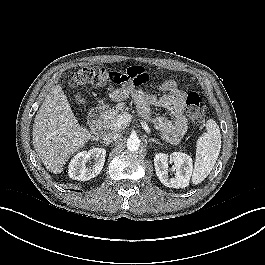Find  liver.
Wrapping results in <instances>:
<instances>
[{"mask_svg":"<svg viewBox=\"0 0 265 265\" xmlns=\"http://www.w3.org/2000/svg\"><path fill=\"white\" fill-rule=\"evenodd\" d=\"M33 145L42 163L54 174L90 139V131L75 117L62 87H52L34 120Z\"/></svg>","mask_w":265,"mask_h":265,"instance_id":"1","label":"liver"}]
</instances>
